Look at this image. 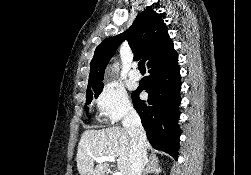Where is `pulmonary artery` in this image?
<instances>
[{
	"mask_svg": "<svg viewBox=\"0 0 251 175\" xmlns=\"http://www.w3.org/2000/svg\"><path fill=\"white\" fill-rule=\"evenodd\" d=\"M139 76H140L139 72H133L132 73V77L135 78V79H139Z\"/></svg>",
	"mask_w": 251,
	"mask_h": 175,
	"instance_id": "pulmonary-artery-1",
	"label": "pulmonary artery"
}]
</instances>
